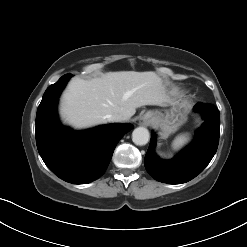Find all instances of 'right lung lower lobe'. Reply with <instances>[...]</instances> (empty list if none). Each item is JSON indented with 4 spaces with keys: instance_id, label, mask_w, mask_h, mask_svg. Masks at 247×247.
<instances>
[{
    "instance_id": "1",
    "label": "right lung lower lobe",
    "mask_w": 247,
    "mask_h": 247,
    "mask_svg": "<svg viewBox=\"0 0 247 247\" xmlns=\"http://www.w3.org/2000/svg\"><path fill=\"white\" fill-rule=\"evenodd\" d=\"M71 74L45 91L36 115V144L46 166L59 178L86 184L106 171L113 151L131 124L103 125L86 131L63 127L57 117L58 97Z\"/></svg>"
}]
</instances>
